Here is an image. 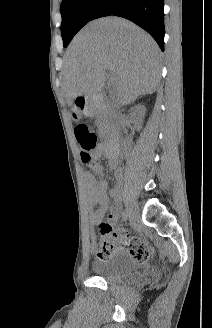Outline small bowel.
Listing matches in <instances>:
<instances>
[{
    "label": "small bowel",
    "instance_id": "obj_1",
    "mask_svg": "<svg viewBox=\"0 0 212 328\" xmlns=\"http://www.w3.org/2000/svg\"><path fill=\"white\" fill-rule=\"evenodd\" d=\"M103 145H100L97 151L94 154L95 158L101 156L103 152ZM112 166H116L112 165ZM93 170L97 173V178L94 177L90 173H86L84 175V187L86 199L89 205H98L99 208L92 214L91 223L93 226H101L103 220L108 212V222L111 227L116 225L119 221L120 217V187L119 184L123 177V171L120 168H117L115 171V176L118 181V186L114 189L108 191L107 184L103 177L102 168L97 164H92ZM110 200L113 201V205L110 207ZM118 241L117 245L109 258L112 257H129L133 261H139L142 253L144 251H148L145 244L138 238L129 235L126 230H118ZM92 249L97 252L98 248L95 240V236H93ZM99 257V256H98ZM100 259H104L99 257Z\"/></svg>",
    "mask_w": 212,
    "mask_h": 328
}]
</instances>
